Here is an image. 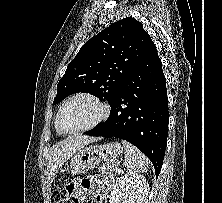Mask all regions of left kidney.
Here are the masks:
<instances>
[{
  "instance_id": "5707ae66",
  "label": "left kidney",
  "mask_w": 222,
  "mask_h": 203,
  "mask_svg": "<svg viewBox=\"0 0 222 203\" xmlns=\"http://www.w3.org/2000/svg\"><path fill=\"white\" fill-rule=\"evenodd\" d=\"M149 185L143 175L127 173L114 184L109 203H145Z\"/></svg>"
}]
</instances>
